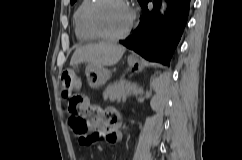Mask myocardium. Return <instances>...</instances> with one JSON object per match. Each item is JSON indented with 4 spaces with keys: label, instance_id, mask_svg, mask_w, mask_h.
<instances>
[{
    "label": "myocardium",
    "instance_id": "myocardium-1",
    "mask_svg": "<svg viewBox=\"0 0 242 160\" xmlns=\"http://www.w3.org/2000/svg\"><path fill=\"white\" fill-rule=\"evenodd\" d=\"M102 1L103 0H91L90 4L88 5V7L85 11V16H84L86 27L94 36H96L97 38L103 39V40L118 41V40L124 39L125 37H127L130 34V32L132 31V29L135 25L136 18H137L136 10L134 9L132 4L128 0H122L130 9V12H131L130 21H129L126 29L122 33L117 34V35L105 34L96 27V25L93 21V12H94L95 8L97 7V5Z\"/></svg>",
    "mask_w": 242,
    "mask_h": 160
}]
</instances>
